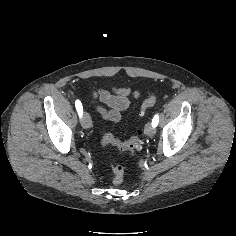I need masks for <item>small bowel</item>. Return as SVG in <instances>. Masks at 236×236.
<instances>
[{
	"label": "small bowel",
	"mask_w": 236,
	"mask_h": 236,
	"mask_svg": "<svg viewBox=\"0 0 236 236\" xmlns=\"http://www.w3.org/2000/svg\"><path fill=\"white\" fill-rule=\"evenodd\" d=\"M138 91H132L127 87H112L110 89H98L93 93V98L99 103L97 110L110 121H119L121 112L126 110L133 99L139 98Z\"/></svg>",
	"instance_id": "c3829d8e"
}]
</instances>
